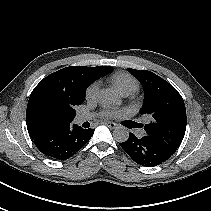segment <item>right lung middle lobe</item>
<instances>
[{
	"instance_id": "1",
	"label": "right lung middle lobe",
	"mask_w": 211,
	"mask_h": 211,
	"mask_svg": "<svg viewBox=\"0 0 211 211\" xmlns=\"http://www.w3.org/2000/svg\"><path fill=\"white\" fill-rule=\"evenodd\" d=\"M75 115H76V112H73V113H72V118H74V117H75Z\"/></svg>"
}]
</instances>
